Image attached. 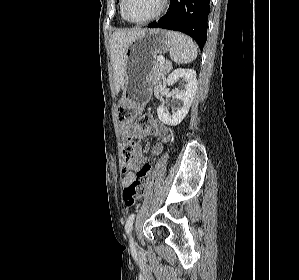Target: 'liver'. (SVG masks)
Segmentation results:
<instances>
[{
    "label": "liver",
    "mask_w": 299,
    "mask_h": 280,
    "mask_svg": "<svg viewBox=\"0 0 299 280\" xmlns=\"http://www.w3.org/2000/svg\"><path fill=\"white\" fill-rule=\"evenodd\" d=\"M144 30L116 31L110 39V53L115 77V93L118 94L124 83L126 49Z\"/></svg>",
    "instance_id": "obj_1"
}]
</instances>
